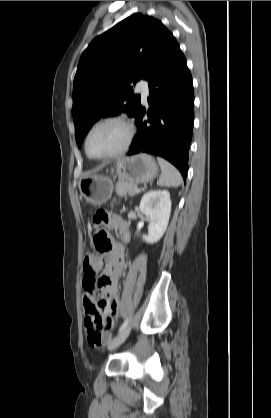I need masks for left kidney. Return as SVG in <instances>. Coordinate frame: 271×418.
<instances>
[{"instance_id": "5707ae66", "label": "left kidney", "mask_w": 271, "mask_h": 418, "mask_svg": "<svg viewBox=\"0 0 271 418\" xmlns=\"http://www.w3.org/2000/svg\"><path fill=\"white\" fill-rule=\"evenodd\" d=\"M140 211L149 218L148 234L143 240L153 244L164 235L171 213L170 193L166 190L147 192L141 199Z\"/></svg>"}]
</instances>
